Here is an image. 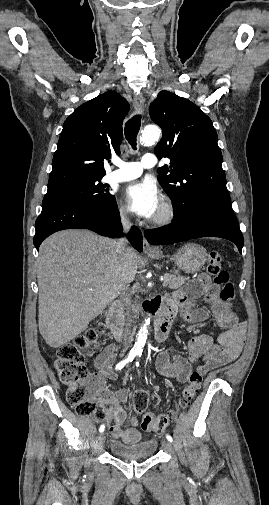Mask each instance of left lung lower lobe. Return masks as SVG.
<instances>
[{
    "label": "left lung lower lobe",
    "mask_w": 269,
    "mask_h": 505,
    "mask_svg": "<svg viewBox=\"0 0 269 505\" xmlns=\"http://www.w3.org/2000/svg\"><path fill=\"white\" fill-rule=\"evenodd\" d=\"M152 245L177 243L199 237H220L232 241L240 253L243 236L230 203H205L198 212L185 221L176 219L170 225L145 231Z\"/></svg>",
    "instance_id": "1"
}]
</instances>
